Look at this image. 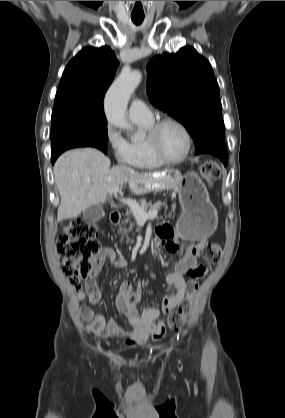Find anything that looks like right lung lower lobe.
<instances>
[{"instance_id": "obj_1", "label": "right lung lower lobe", "mask_w": 285, "mask_h": 418, "mask_svg": "<svg viewBox=\"0 0 285 418\" xmlns=\"http://www.w3.org/2000/svg\"><path fill=\"white\" fill-rule=\"evenodd\" d=\"M57 157L55 158H51L52 163L54 164V162L56 161Z\"/></svg>"}]
</instances>
